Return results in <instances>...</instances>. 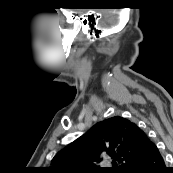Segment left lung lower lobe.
I'll return each mask as SVG.
<instances>
[{"label": "left lung lower lobe", "instance_id": "left-lung-lower-lobe-1", "mask_svg": "<svg viewBox=\"0 0 173 173\" xmlns=\"http://www.w3.org/2000/svg\"><path fill=\"white\" fill-rule=\"evenodd\" d=\"M126 173H168L163 156L147 135L145 148L136 156Z\"/></svg>", "mask_w": 173, "mask_h": 173}]
</instances>
